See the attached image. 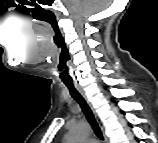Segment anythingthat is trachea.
Returning <instances> with one entry per match:
<instances>
[{"mask_svg":"<svg viewBox=\"0 0 158 143\" xmlns=\"http://www.w3.org/2000/svg\"><path fill=\"white\" fill-rule=\"evenodd\" d=\"M64 84L69 89V92H70L71 96L74 98V100L80 105L84 115L86 116L88 122L92 126L95 134L101 140H103V135H102L101 129H100V127L95 119V116H94L91 108L89 107L88 103L86 102V100L78 92V90L75 88V86L73 84H68V83H64Z\"/></svg>","mask_w":158,"mask_h":143,"instance_id":"trachea-1","label":"trachea"}]
</instances>
